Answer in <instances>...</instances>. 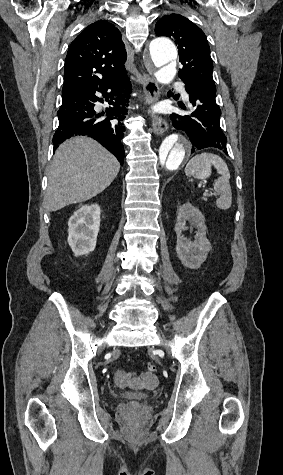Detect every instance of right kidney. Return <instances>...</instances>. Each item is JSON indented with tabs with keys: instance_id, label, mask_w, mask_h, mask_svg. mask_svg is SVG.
Wrapping results in <instances>:
<instances>
[{
	"instance_id": "ca27d5eb",
	"label": "right kidney",
	"mask_w": 283,
	"mask_h": 475,
	"mask_svg": "<svg viewBox=\"0 0 283 475\" xmlns=\"http://www.w3.org/2000/svg\"><path fill=\"white\" fill-rule=\"evenodd\" d=\"M100 212L98 204H85L69 218L68 243L74 255H86L95 249Z\"/></svg>"
}]
</instances>
